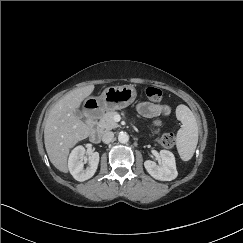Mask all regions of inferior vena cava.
Segmentation results:
<instances>
[{
	"label": "inferior vena cava",
	"mask_w": 243,
	"mask_h": 243,
	"mask_svg": "<svg viewBox=\"0 0 243 243\" xmlns=\"http://www.w3.org/2000/svg\"><path fill=\"white\" fill-rule=\"evenodd\" d=\"M114 138V133L112 131H106L102 136V141L106 144L110 143Z\"/></svg>",
	"instance_id": "obj_1"
}]
</instances>
